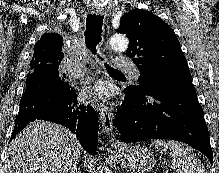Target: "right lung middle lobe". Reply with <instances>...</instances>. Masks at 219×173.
<instances>
[{
	"label": "right lung middle lobe",
	"mask_w": 219,
	"mask_h": 173,
	"mask_svg": "<svg viewBox=\"0 0 219 173\" xmlns=\"http://www.w3.org/2000/svg\"><path fill=\"white\" fill-rule=\"evenodd\" d=\"M58 63H41L38 65H31L29 67V73L27 75V78L30 76H36L38 74H51L55 78H57L64 86L70 87L69 83L65 81L64 77L65 74H62V72L59 69Z\"/></svg>",
	"instance_id": "dd1d6c3e"
}]
</instances>
